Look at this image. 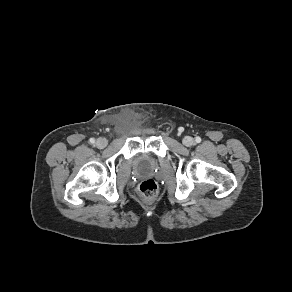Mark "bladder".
I'll list each match as a JSON object with an SVG mask.
<instances>
[{
    "instance_id": "31cf9c89",
    "label": "bladder",
    "mask_w": 292,
    "mask_h": 292,
    "mask_svg": "<svg viewBox=\"0 0 292 292\" xmlns=\"http://www.w3.org/2000/svg\"><path fill=\"white\" fill-rule=\"evenodd\" d=\"M155 158L147 153H139L133 158V168L139 174H149L157 168Z\"/></svg>"
}]
</instances>
